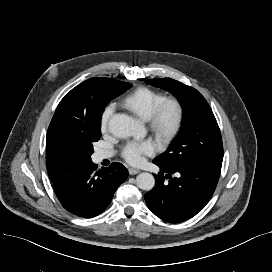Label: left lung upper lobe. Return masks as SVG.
I'll list each match as a JSON object with an SVG mask.
<instances>
[{"instance_id": "left-lung-upper-lobe-1", "label": "left lung upper lobe", "mask_w": 272, "mask_h": 272, "mask_svg": "<svg viewBox=\"0 0 272 272\" xmlns=\"http://www.w3.org/2000/svg\"><path fill=\"white\" fill-rule=\"evenodd\" d=\"M171 92L183 107L182 128L167 151L154 159L165 166L194 162L222 163L223 145L215 116L205 98L193 87L171 78L147 80Z\"/></svg>"}]
</instances>
